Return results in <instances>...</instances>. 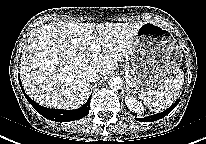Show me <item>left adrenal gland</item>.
<instances>
[{"instance_id": "left-adrenal-gland-1", "label": "left adrenal gland", "mask_w": 206, "mask_h": 144, "mask_svg": "<svg viewBox=\"0 0 206 144\" xmlns=\"http://www.w3.org/2000/svg\"><path fill=\"white\" fill-rule=\"evenodd\" d=\"M127 92L130 93L129 87L127 86Z\"/></svg>"}]
</instances>
